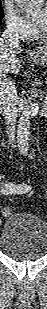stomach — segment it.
Segmentation results:
<instances>
[{
    "label": "stomach",
    "mask_w": 47,
    "mask_h": 309,
    "mask_svg": "<svg viewBox=\"0 0 47 309\" xmlns=\"http://www.w3.org/2000/svg\"><path fill=\"white\" fill-rule=\"evenodd\" d=\"M31 61L38 65L47 66V48L36 51L31 57Z\"/></svg>",
    "instance_id": "obj_1"
}]
</instances>
